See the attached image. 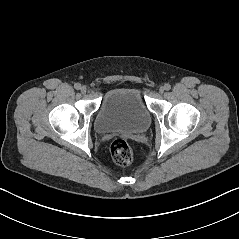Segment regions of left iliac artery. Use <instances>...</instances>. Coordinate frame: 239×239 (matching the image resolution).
I'll return each mask as SVG.
<instances>
[{
	"mask_svg": "<svg viewBox=\"0 0 239 239\" xmlns=\"http://www.w3.org/2000/svg\"><path fill=\"white\" fill-rule=\"evenodd\" d=\"M164 87H165V90H170V89H171V85H170V84H168V83H167V84H165V86H164Z\"/></svg>",
	"mask_w": 239,
	"mask_h": 239,
	"instance_id": "1",
	"label": "left iliac artery"
}]
</instances>
